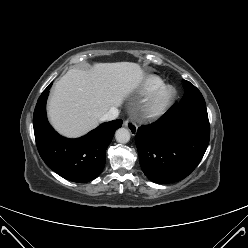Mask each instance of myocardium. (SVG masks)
Instances as JSON below:
<instances>
[{"instance_id":"f54148a6","label":"myocardium","mask_w":248,"mask_h":248,"mask_svg":"<svg viewBox=\"0 0 248 248\" xmlns=\"http://www.w3.org/2000/svg\"><path fill=\"white\" fill-rule=\"evenodd\" d=\"M175 89L168 85H160L146 99L144 111L150 118L162 116L175 98Z\"/></svg>"}]
</instances>
